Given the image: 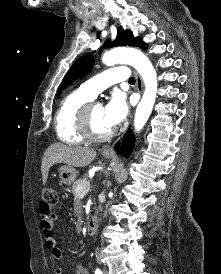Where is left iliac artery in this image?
I'll return each instance as SVG.
<instances>
[{"label": "left iliac artery", "mask_w": 221, "mask_h": 274, "mask_svg": "<svg viewBox=\"0 0 221 274\" xmlns=\"http://www.w3.org/2000/svg\"><path fill=\"white\" fill-rule=\"evenodd\" d=\"M95 274H103V273H102V271H101L99 268H97V269L95 270Z\"/></svg>", "instance_id": "1"}]
</instances>
